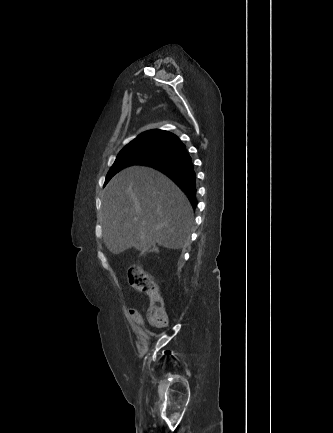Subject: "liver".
Listing matches in <instances>:
<instances>
[{"label":"liver","mask_w":333,"mask_h":433,"mask_svg":"<svg viewBox=\"0 0 333 433\" xmlns=\"http://www.w3.org/2000/svg\"><path fill=\"white\" fill-rule=\"evenodd\" d=\"M103 240L112 254L158 244L180 249L191 230L193 210L185 194L161 172L128 167L107 184L101 197Z\"/></svg>","instance_id":"1"}]
</instances>
